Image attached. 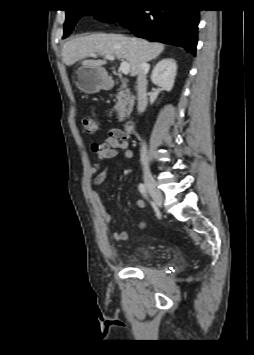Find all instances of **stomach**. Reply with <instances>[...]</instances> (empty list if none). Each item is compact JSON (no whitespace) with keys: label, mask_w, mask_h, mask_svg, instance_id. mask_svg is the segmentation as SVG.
Segmentation results:
<instances>
[{"label":"stomach","mask_w":254,"mask_h":355,"mask_svg":"<svg viewBox=\"0 0 254 355\" xmlns=\"http://www.w3.org/2000/svg\"><path fill=\"white\" fill-rule=\"evenodd\" d=\"M74 79L78 89L88 94L97 93L111 86V80L102 67L82 65L76 70Z\"/></svg>","instance_id":"obj_1"}]
</instances>
